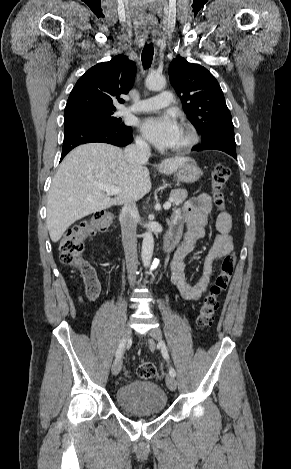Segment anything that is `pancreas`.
Here are the masks:
<instances>
[{
  "label": "pancreas",
  "mask_w": 291,
  "mask_h": 469,
  "mask_svg": "<svg viewBox=\"0 0 291 469\" xmlns=\"http://www.w3.org/2000/svg\"><path fill=\"white\" fill-rule=\"evenodd\" d=\"M187 196L188 193L184 189H174L170 192V197L173 198V204L175 206L182 204Z\"/></svg>",
  "instance_id": "cf45deb5"
}]
</instances>
